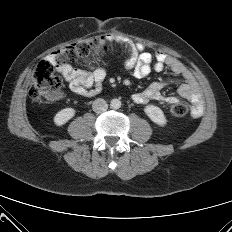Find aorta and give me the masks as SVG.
I'll return each mask as SVG.
<instances>
[{"label": "aorta", "instance_id": "762f6f07", "mask_svg": "<svg viewBox=\"0 0 232 232\" xmlns=\"http://www.w3.org/2000/svg\"><path fill=\"white\" fill-rule=\"evenodd\" d=\"M110 107L112 109H119L121 107V101L119 99H112L110 102Z\"/></svg>", "mask_w": 232, "mask_h": 232}]
</instances>
